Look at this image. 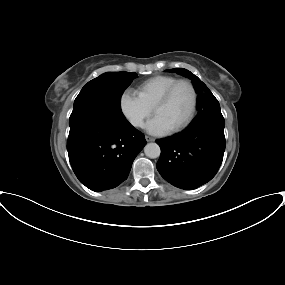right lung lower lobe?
Masks as SVG:
<instances>
[{
  "label": "right lung lower lobe",
  "instance_id": "1",
  "mask_svg": "<svg viewBox=\"0 0 285 285\" xmlns=\"http://www.w3.org/2000/svg\"><path fill=\"white\" fill-rule=\"evenodd\" d=\"M144 135L127 120L92 115L70 125L69 160L79 181L93 191L117 187L145 146Z\"/></svg>",
  "mask_w": 285,
  "mask_h": 285
}]
</instances>
